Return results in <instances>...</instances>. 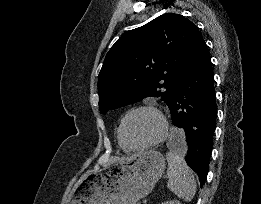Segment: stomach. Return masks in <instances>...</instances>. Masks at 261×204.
<instances>
[{
    "instance_id": "1",
    "label": "stomach",
    "mask_w": 261,
    "mask_h": 204,
    "mask_svg": "<svg viewBox=\"0 0 261 204\" xmlns=\"http://www.w3.org/2000/svg\"><path fill=\"white\" fill-rule=\"evenodd\" d=\"M164 170L165 158L160 152L135 154L84 175L69 204H137L152 191Z\"/></svg>"
}]
</instances>
